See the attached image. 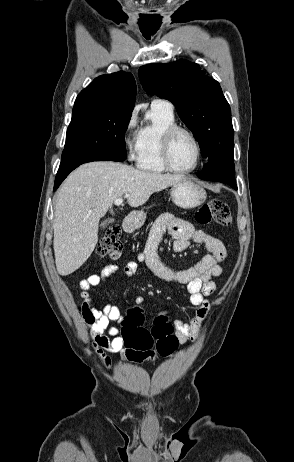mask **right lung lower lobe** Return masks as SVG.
Here are the masks:
<instances>
[{
  "label": "right lung lower lobe",
  "mask_w": 294,
  "mask_h": 462,
  "mask_svg": "<svg viewBox=\"0 0 294 462\" xmlns=\"http://www.w3.org/2000/svg\"><path fill=\"white\" fill-rule=\"evenodd\" d=\"M110 161H121V160L111 159ZM81 164L83 163L59 169L57 172L56 178H55L54 190H56L59 187V185L63 182V180L68 176V174L71 171H73L75 168H77Z\"/></svg>",
  "instance_id": "1"
}]
</instances>
